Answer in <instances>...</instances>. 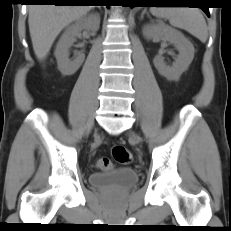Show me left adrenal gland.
<instances>
[{
	"label": "left adrenal gland",
	"mask_w": 231,
	"mask_h": 231,
	"mask_svg": "<svg viewBox=\"0 0 231 231\" xmlns=\"http://www.w3.org/2000/svg\"><path fill=\"white\" fill-rule=\"evenodd\" d=\"M147 14V16H149V14L146 12V10H144L141 14V20L143 19L144 15Z\"/></svg>",
	"instance_id": "left-adrenal-gland-1"
}]
</instances>
